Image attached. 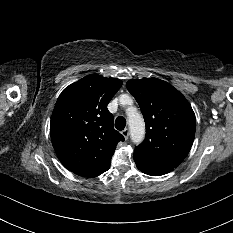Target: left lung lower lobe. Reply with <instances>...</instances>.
I'll use <instances>...</instances> for the list:
<instances>
[{"label":"left lung lower lobe","mask_w":233,"mask_h":233,"mask_svg":"<svg viewBox=\"0 0 233 233\" xmlns=\"http://www.w3.org/2000/svg\"><path fill=\"white\" fill-rule=\"evenodd\" d=\"M134 161L140 171L152 176L164 175L174 169V167L143 157L135 151H134Z\"/></svg>","instance_id":"1"}]
</instances>
